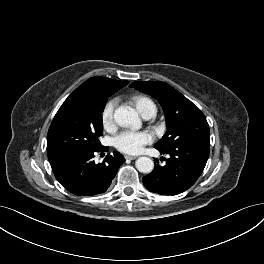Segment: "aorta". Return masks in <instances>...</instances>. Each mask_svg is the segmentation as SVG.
I'll list each match as a JSON object with an SVG mask.
<instances>
[{
  "label": "aorta",
  "instance_id": "obj_1",
  "mask_svg": "<svg viewBox=\"0 0 264 264\" xmlns=\"http://www.w3.org/2000/svg\"><path fill=\"white\" fill-rule=\"evenodd\" d=\"M115 122L122 127H130L137 130L141 127V120L138 113L129 106H120L114 112ZM136 168L142 173H150L154 168L151 158L142 156L136 160Z\"/></svg>",
  "mask_w": 264,
  "mask_h": 264
}]
</instances>
